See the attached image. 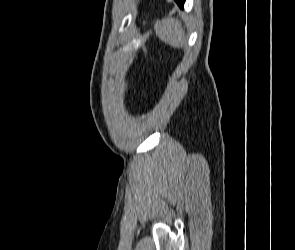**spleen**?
Here are the masks:
<instances>
[{
	"label": "spleen",
	"mask_w": 295,
	"mask_h": 250,
	"mask_svg": "<svg viewBox=\"0 0 295 250\" xmlns=\"http://www.w3.org/2000/svg\"><path fill=\"white\" fill-rule=\"evenodd\" d=\"M156 35L161 41L173 48H183L186 46L187 37L181 22L173 18L157 20L155 23Z\"/></svg>",
	"instance_id": "obj_1"
}]
</instances>
